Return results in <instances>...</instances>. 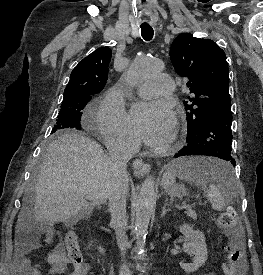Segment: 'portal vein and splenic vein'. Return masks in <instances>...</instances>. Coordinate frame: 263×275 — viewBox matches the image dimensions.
<instances>
[{
    "mask_svg": "<svg viewBox=\"0 0 263 275\" xmlns=\"http://www.w3.org/2000/svg\"><path fill=\"white\" fill-rule=\"evenodd\" d=\"M181 208H182V209H189V208H191V206H190V205H184V206H182Z\"/></svg>",
    "mask_w": 263,
    "mask_h": 275,
    "instance_id": "1",
    "label": "portal vein and splenic vein"
}]
</instances>
